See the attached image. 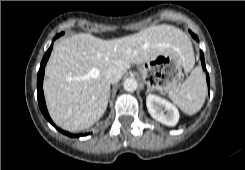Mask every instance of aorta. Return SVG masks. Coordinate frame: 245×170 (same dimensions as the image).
I'll use <instances>...</instances> for the list:
<instances>
[{
	"label": "aorta",
	"instance_id": "1",
	"mask_svg": "<svg viewBox=\"0 0 245 170\" xmlns=\"http://www.w3.org/2000/svg\"><path fill=\"white\" fill-rule=\"evenodd\" d=\"M123 87L128 92H133L138 87V82L135 78H127L123 83Z\"/></svg>",
	"mask_w": 245,
	"mask_h": 170
}]
</instances>
